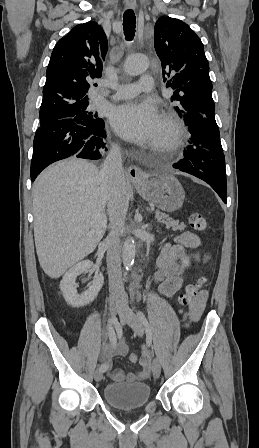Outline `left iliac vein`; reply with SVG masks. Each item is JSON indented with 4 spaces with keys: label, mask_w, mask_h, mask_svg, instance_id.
Listing matches in <instances>:
<instances>
[{
    "label": "left iliac vein",
    "mask_w": 259,
    "mask_h": 448,
    "mask_svg": "<svg viewBox=\"0 0 259 448\" xmlns=\"http://www.w3.org/2000/svg\"><path fill=\"white\" fill-rule=\"evenodd\" d=\"M118 314L120 318L127 323L138 336H142L144 334V327L140 317L133 312L126 301L121 302ZM152 373L154 378H158L161 374V364L158 358H154L153 360Z\"/></svg>",
    "instance_id": "left-iliac-vein-1"
}]
</instances>
